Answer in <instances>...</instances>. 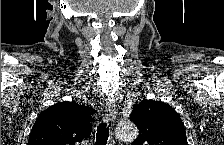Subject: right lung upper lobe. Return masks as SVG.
<instances>
[{
  "label": "right lung upper lobe",
  "instance_id": "cb5924a9",
  "mask_svg": "<svg viewBox=\"0 0 224 145\" xmlns=\"http://www.w3.org/2000/svg\"><path fill=\"white\" fill-rule=\"evenodd\" d=\"M92 108L63 101L40 113L28 145H79L90 135Z\"/></svg>",
  "mask_w": 224,
  "mask_h": 145
}]
</instances>
